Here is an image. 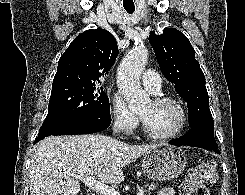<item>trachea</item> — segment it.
<instances>
[{
	"label": "trachea",
	"instance_id": "1",
	"mask_svg": "<svg viewBox=\"0 0 245 195\" xmlns=\"http://www.w3.org/2000/svg\"><path fill=\"white\" fill-rule=\"evenodd\" d=\"M125 10L129 13V14H132L134 11H135V8L132 7V8H125Z\"/></svg>",
	"mask_w": 245,
	"mask_h": 195
}]
</instances>
